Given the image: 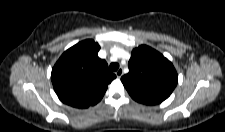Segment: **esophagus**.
<instances>
[{
	"label": "esophagus",
	"mask_w": 225,
	"mask_h": 132,
	"mask_svg": "<svg viewBox=\"0 0 225 132\" xmlns=\"http://www.w3.org/2000/svg\"><path fill=\"white\" fill-rule=\"evenodd\" d=\"M117 78H120L122 75H123V69H118L116 72H115Z\"/></svg>",
	"instance_id": "obj_1"
}]
</instances>
